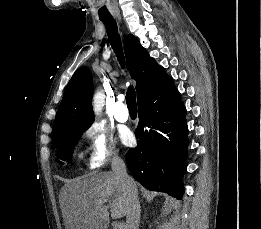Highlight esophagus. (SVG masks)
Instances as JSON below:
<instances>
[{
  "instance_id": "esophagus-1",
  "label": "esophagus",
  "mask_w": 261,
  "mask_h": 229,
  "mask_svg": "<svg viewBox=\"0 0 261 229\" xmlns=\"http://www.w3.org/2000/svg\"><path fill=\"white\" fill-rule=\"evenodd\" d=\"M118 19H119V20L121 19V16H120V15H118Z\"/></svg>"
}]
</instances>
